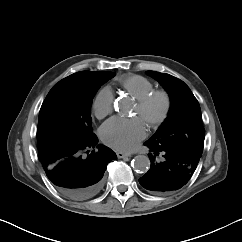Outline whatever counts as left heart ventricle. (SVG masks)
<instances>
[{"label":"left heart ventricle","instance_id":"1","mask_svg":"<svg viewBox=\"0 0 242 242\" xmlns=\"http://www.w3.org/2000/svg\"><path fill=\"white\" fill-rule=\"evenodd\" d=\"M164 109V101L162 98H156L151 103L144 107L138 105L133 106L134 114L142 121L144 125H148L149 122L158 118Z\"/></svg>","mask_w":242,"mask_h":242}]
</instances>
